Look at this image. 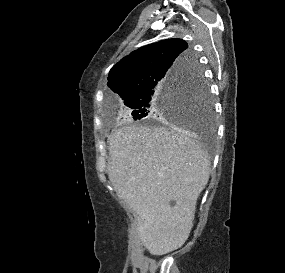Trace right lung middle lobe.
Returning a JSON list of instances; mask_svg holds the SVG:
<instances>
[{"label": "right lung middle lobe", "instance_id": "1", "mask_svg": "<svg viewBox=\"0 0 285 273\" xmlns=\"http://www.w3.org/2000/svg\"><path fill=\"white\" fill-rule=\"evenodd\" d=\"M125 105L134 119L175 120L200 128L213 127L209 87L198 66L140 93Z\"/></svg>", "mask_w": 285, "mask_h": 273}]
</instances>
